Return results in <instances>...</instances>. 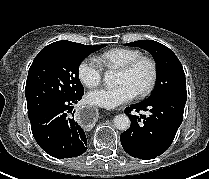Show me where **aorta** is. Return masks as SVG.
I'll use <instances>...</instances> for the list:
<instances>
[{
    "instance_id": "1",
    "label": "aorta",
    "mask_w": 209,
    "mask_h": 179,
    "mask_svg": "<svg viewBox=\"0 0 209 179\" xmlns=\"http://www.w3.org/2000/svg\"><path fill=\"white\" fill-rule=\"evenodd\" d=\"M104 81L108 86H113L116 83L115 73L112 71H106L104 73ZM114 125L119 130H127L130 128L131 121L125 114H119L114 117Z\"/></svg>"
}]
</instances>
